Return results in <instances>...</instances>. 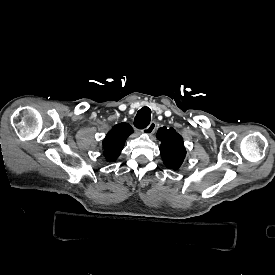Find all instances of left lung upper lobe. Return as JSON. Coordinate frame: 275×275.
Returning <instances> with one entry per match:
<instances>
[{
	"label": "left lung upper lobe",
	"instance_id": "1",
	"mask_svg": "<svg viewBox=\"0 0 275 275\" xmlns=\"http://www.w3.org/2000/svg\"><path fill=\"white\" fill-rule=\"evenodd\" d=\"M157 138L161 141L160 153L164 165L173 170H177L184 161L186 149L183 138L173 128H159Z\"/></svg>",
	"mask_w": 275,
	"mask_h": 275
}]
</instances>
